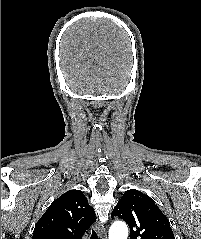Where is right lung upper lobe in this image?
Wrapping results in <instances>:
<instances>
[{"label": "right lung upper lobe", "mask_w": 201, "mask_h": 239, "mask_svg": "<svg viewBox=\"0 0 201 239\" xmlns=\"http://www.w3.org/2000/svg\"><path fill=\"white\" fill-rule=\"evenodd\" d=\"M94 220V209L82 191L70 190L48 207L32 239H81Z\"/></svg>", "instance_id": "right-lung-upper-lobe-1"}]
</instances>
